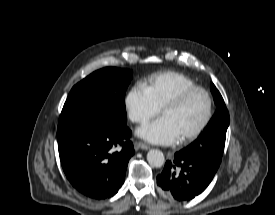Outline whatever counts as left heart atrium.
I'll list each match as a JSON object with an SVG mask.
<instances>
[{
	"label": "left heart atrium",
	"instance_id": "obj_1",
	"mask_svg": "<svg viewBox=\"0 0 275 215\" xmlns=\"http://www.w3.org/2000/svg\"><path fill=\"white\" fill-rule=\"evenodd\" d=\"M137 135L155 144H174L180 138L173 123L166 117L149 122L137 129Z\"/></svg>",
	"mask_w": 275,
	"mask_h": 215
}]
</instances>
